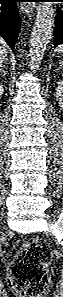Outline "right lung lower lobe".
<instances>
[{
    "mask_svg": "<svg viewBox=\"0 0 63 297\" xmlns=\"http://www.w3.org/2000/svg\"><path fill=\"white\" fill-rule=\"evenodd\" d=\"M0 8V36L4 38L14 50L20 31L21 18L19 16L16 0H2Z\"/></svg>",
    "mask_w": 63,
    "mask_h": 297,
    "instance_id": "1",
    "label": "right lung lower lobe"
}]
</instances>
